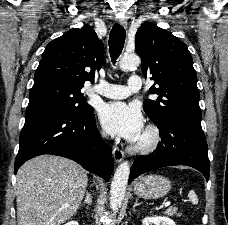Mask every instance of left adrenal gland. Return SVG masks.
<instances>
[{
    "instance_id": "a2214340",
    "label": "left adrenal gland",
    "mask_w": 228,
    "mask_h": 225,
    "mask_svg": "<svg viewBox=\"0 0 228 225\" xmlns=\"http://www.w3.org/2000/svg\"><path fill=\"white\" fill-rule=\"evenodd\" d=\"M138 205H141V203H138V199H136L135 205H133V209H135V207H138Z\"/></svg>"
}]
</instances>
